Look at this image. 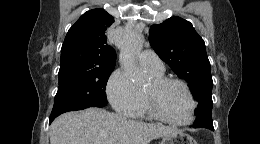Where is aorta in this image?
Segmentation results:
<instances>
[{"label": "aorta", "instance_id": "obj_1", "mask_svg": "<svg viewBox=\"0 0 260 144\" xmlns=\"http://www.w3.org/2000/svg\"><path fill=\"white\" fill-rule=\"evenodd\" d=\"M143 45V38L140 32H124L119 43V61L125 74L132 82L138 83L144 79V74L136 65L138 54Z\"/></svg>", "mask_w": 260, "mask_h": 144}]
</instances>
